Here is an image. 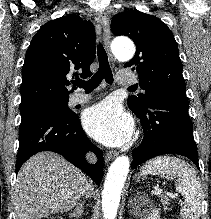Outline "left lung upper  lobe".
Returning a JSON list of instances; mask_svg holds the SVG:
<instances>
[{"label":"left lung upper lobe","instance_id":"5c2ea615","mask_svg":"<svg viewBox=\"0 0 211 219\" xmlns=\"http://www.w3.org/2000/svg\"><path fill=\"white\" fill-rule=\"evenodd\" d=\"M114 35L130 37L136 54L124 67L136 69L144 94L130 96L128 105L142 112L152 95L177 92L185 94V81L177 43L170 29L159 18L137 10L116 14L111 20Z\"/></svg>","mask_w":211,"mask_h":219}]
</instances>
